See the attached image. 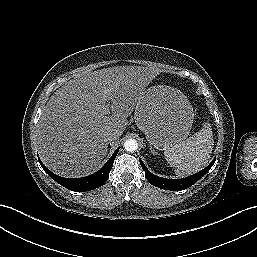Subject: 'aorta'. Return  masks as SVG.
Masks as SVG:
<instances>
[{"label":"aorta","mask_w":257,"mask_h":257,"mask_svg":"<svg viewBox=\"0 0 257 257\" xmlns=\"http://www.w3.org/2000/svg\"><path fill=\"white\" fill-rule=\"evenodd\" d=\"M124 148L128 152H134L138 149V143L135 139H128L124 143Z\"/></svg>","instance_id":"aorta-1"}]
</instances>
